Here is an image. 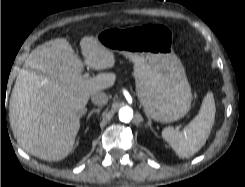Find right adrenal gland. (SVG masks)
I'll return each mask as SVG.
<instances>
[{
    "label": "right adrenal gland",
    "mask_w": 245,
    "mask_h": 187,
    "mask_svg": "<svg viewBox=\"0 0 245 187\" xmlns=\"http://www.w3.org/2000/svg\"><path fill=\"white\" fill-rule=\"evenodd\" d=\"M101 109H102L101 107L96 108V109H92V110L88 113L87 121L91 118V116H92L94 113H97V115H99Z\"/></svg>",
    "instance_id": "2a0ac1e0"
}]
</instances>
